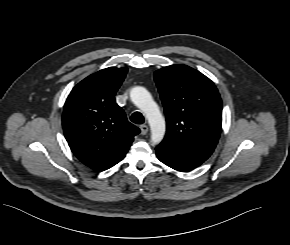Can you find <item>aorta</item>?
Returning <instances> with one entry per match:
<instances>
[{
	"label": "aorta",
	"instance_id": "762f6f07",
	"mask_svg": "<svg viewBox=\"0 0 290 245\" xmlns=\"http://www.w3.org/2000/svg\"><path fill=\"white\" fill-rule=\"evenodd\" d=\"M131 101L142 110L148 120L151 130V141L159 144L165 135L166 124L158 105L144 87H134L130 92Z\"/></svg>",
	"mask_w": 290,
	"mask_h": 245
}]
</instances>
